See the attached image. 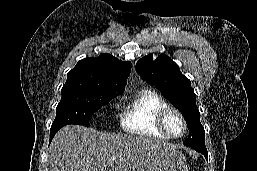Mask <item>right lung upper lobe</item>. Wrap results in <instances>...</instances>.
I'll return each instance as SVG.
<instances>
[{
	"label": "right lung upper lobe",
	"instance_id": "1",
	"mask_svg": "<svg viewBox=\"0 0 257 171\" xmlns=\"http://www.w3.org/2000/svg\"><path fill=\"white\" fill-rule=\"evenodd\" d=\"M131 63L122 62L110 54L104 53L97 58L80 60L68 72L63 88L87 87L111 90L123 93L130 74Z\"/></svg>",
	"mask_w": 257,
	"mask_h": 171
}]
</instances>
